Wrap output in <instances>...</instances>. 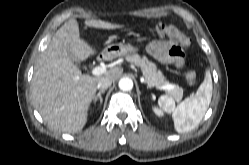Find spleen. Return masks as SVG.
<instances>
[{
	"label": "spleen",
	"mask_w": 249,
	"mask_h": 165,
	"mask_svg": "<svg viewBox=\"0 0 249 165\" xmlns=\"http://www.w3.org/2000/svg\"><path fill=\"white\" fill-rule=\"evenodd\" d=\"M212 90L211 73L210 69L207 68L205 78L194 96L185 99L176 106L171 96L162 95L158 104L166 112L172 114L174 127L178 133L188 132L202 121L211 102Z\"/></svg>",
	"instance_id": "obj_1"
}]
</instances>
